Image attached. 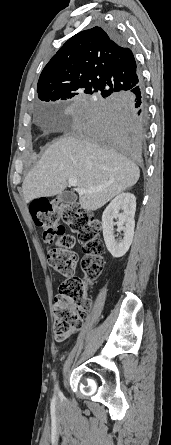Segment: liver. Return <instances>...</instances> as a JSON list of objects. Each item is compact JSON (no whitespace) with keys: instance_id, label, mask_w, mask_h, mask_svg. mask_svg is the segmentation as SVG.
I'll return each instance as SVG.
<instances>
[{"instance_id":"obj_1","label":"liver","mask_w":171,"mask_h":445,"mask_svg":"<svg viewBox=\"0 0 171 445\" xmlns=\"http://www.w3.org/2000/svg\"><path fill=\"white\" fill-rule=\"evenodd\" d=\"M138 166L127 157H117L96 140L64 136L49 146L26 176L22 189L26 203L35 198L55 196L77 180L78 188L98 192L80 196L82 209L95 211L139 179Z\"/></svg>"}]
</instances>
